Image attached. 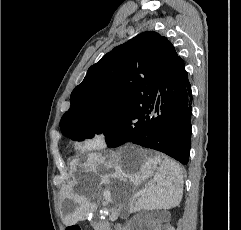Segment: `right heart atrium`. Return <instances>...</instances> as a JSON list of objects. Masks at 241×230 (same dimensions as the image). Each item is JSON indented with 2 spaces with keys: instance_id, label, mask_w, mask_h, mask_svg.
I'll return each instance as SVG.
<instances>
[{
  "instance_id": "d8ad5b80",
  "label": "right heart atrium",
  "mask_w": 241,
  "mask_h": 230,
  "mask_svg": "<svg viewBox=\"0 0 241 230\" xmlns=\"http://www.w3.org/2000/svg\"><path fill=\"white\" fill-rule=\"evenodd\" d=\"M107 135L103 131H99L85 139L81 145L87 150H101L107 146Z\"/></svg>"
}]
</instances>
